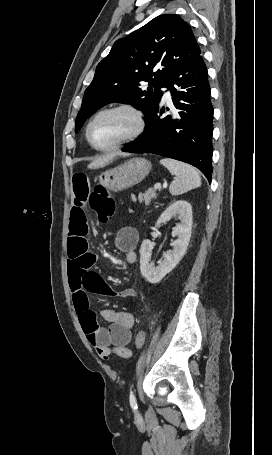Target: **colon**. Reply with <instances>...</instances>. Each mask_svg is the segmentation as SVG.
Instances as JSON below:
<instances>
[{
    "label": "colon",
    "instance_id": "1",
    "mask_svg": "<svg viewBox=\"0 0 272 455\" xmlns=\"http://www.w3.org/2000/svg\"><path fill=\"white\" fill-rule=\"evenodd\" d=\"M89 205L101 224H107L115 211L114 199L107 194L100 185H97L91 193ZM144 343L145 332L140 331L136 336L135 345L140 349L143 347ZM122 354L126 355L128 353L123 351Z\"/></svg>",
    "mask_w": 272,
    "mask_h": 455
}]
</instances>
